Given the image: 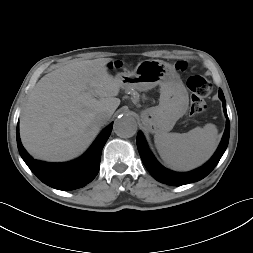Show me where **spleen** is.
<instances>
[{
  "label": "spleen",
  "mask_w": 253,
  "mask_h": 253,
  "mask_svg": "<svg viewBox=\"0 0 253 253\" xmlns=\"http://www.w3.org/2000/svg\"><path fill=\"white\" fill-rule=\"evenodd\" d=\"M154 142L159 155L169 167L188 171L212 156L218 145V130L209 123L187 133L156 134Z\"/></svg>",
  "instance_id": "obj_1"
}]
</instances>
